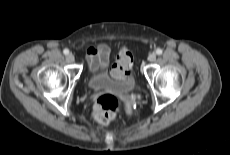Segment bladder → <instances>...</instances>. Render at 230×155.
<instances>
[{
	"label": "bladder",
	"mask_w": 230,
	"mask_h": 155,
	"mask_svg": "<svg viewBox=\"0 0 230 155\" xmlns=\"http://www.w3.org/2000/svg\"><path fill=\"white\" fill-rule=\"evenodd\" d=\"M88 84L92 89H109L117 93H127L136 86V79L132 75L125 78H112L107 73L92 74L88 79Z\"/></svg>",
	"instance_id": "1"
}]
</instances>
